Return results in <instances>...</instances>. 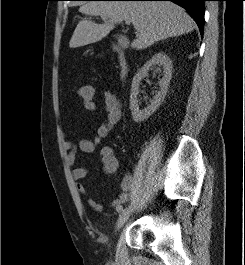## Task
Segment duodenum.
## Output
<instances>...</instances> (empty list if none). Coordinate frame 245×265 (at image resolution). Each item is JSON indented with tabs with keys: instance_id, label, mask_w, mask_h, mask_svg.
Wrapping results in <instances>:
<instances>
[{
	"instance_id": "duodenum-1",
	"label": "duodenum",
	"mask_w": 245,
	"mask_h": 265,
	"mask_svg": "<svg viewBox=\"0 0 245 265\" xmlns=\"http://www.w3.org/2000/svg\"><path fill=\"white\" fill-rule=\"evenodd\" d=\"M116 53L118 57L120 76L122 78H125L128 75V71H129V65H128L126 53L120 48H116Z\"/></svg>"
}]
</instances>
